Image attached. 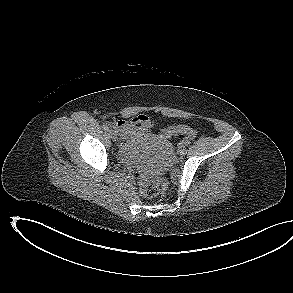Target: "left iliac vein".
<instances>
[{
  "mask_svg": "<svg viewBox=\"0 0 293 293\" xmlns=\"http://www.w3.org/2000/svg\"><path fill=\"white\" fill-rule=\"evenodd\" d=\"M187 153V150L185 148L180 149V155L184 156Z\"/></svg>",
  "mask_w": 293,
  "mask_h": 293,
  "instance_id": "left-iliac-vein-1",
  "label": "left iliac vein"
}]
</instances>
